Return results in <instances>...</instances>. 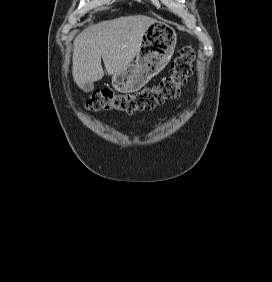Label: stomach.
Listing matches in <instances>:
<instances>
[{"label":"stomach","mask_w":272,"mask_h":282,"mask_svg":"<svg viewBox=\"0 0 272 282\" xmlns=\"http://www.w3.org/2000/svg\"><path fill=\"white\" fill-rule=\"evenodd\" d=\"M177 43L176 32L163 23L150 25L142 39L134 64H129L112 77V85L121 93L140 90L169 63Z\"/></svg>","instance_id":"stomach-1"}]
</instances>
